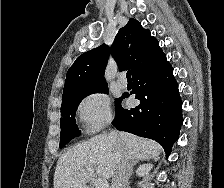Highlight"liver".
Returning a JSON list of instances; mask_svg holds the SVG:
<instances>
[{"mask_svg": "<svg viewBox=\"0 0 224 188\" xmlns=\"http://www.w3.org/2000/svg\"><path fill=\"white\" fill-rule=\"evenodd\" d=\"M116 134L119 142L103 133L75 145L61 155L54 173V188H87L86 184L95 175L104 179L113 177L121 147L132 159L141 160L158 157L162 151L161 146L153 140L125 132Z\"/></svg>", "mask_w": 224, "mask_h": 188, "instance_id": "obj_1", "label": "liver"}]
</instances>
